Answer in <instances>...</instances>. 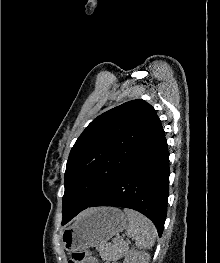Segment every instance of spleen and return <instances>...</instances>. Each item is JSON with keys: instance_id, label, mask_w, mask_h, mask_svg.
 <instances>
[{"instance_id": "1", "label": "spleen", "mask_w": 220, "mask_h": 263, "mask_svg": "<svg viewBox=\"0 0 220 263\" xmlns=\"http://www.w3.org/2000/svg\"><path fill=\"white\" fill-rule=\"evenodd\" d=\"M124 212L128 217L127 236L135 240L136 247L140 250L150 249L156 238V228L153 223L134 210L125 208Z\"/></svg>"}]
</instances>
